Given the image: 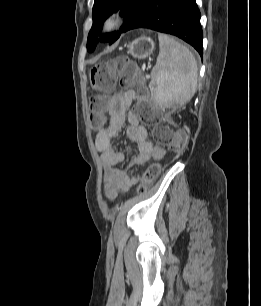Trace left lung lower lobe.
Returning <instances> with one entry per match:
<instances>
[{
	"label": "left lung lower lobe",
	"instance_id": "obj_1",
	"mask_svg": "<svg viewBox=\"0 0 261 306\" xmlns=\"http://www.w3.org/2000/svg\"><path fill=\"white\" fill-rule=\"evenodd\" d=\"M135 28L175 35L203 55L200 12L195 0H145L123 32Z\"/></svg>",
	"mask_w": 261,
	"mask_h": 306
}]
</instances>
